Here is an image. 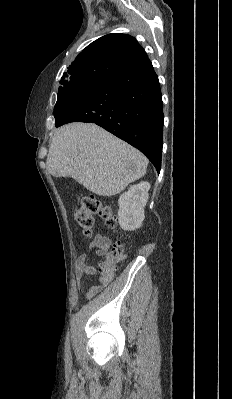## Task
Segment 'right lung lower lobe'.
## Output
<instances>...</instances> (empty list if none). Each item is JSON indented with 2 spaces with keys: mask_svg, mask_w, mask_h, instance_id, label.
<instances>
[{
  "mask_svg": "<svg viewBox=\"0 0 232 399\" xmlns=\"http://www.w3.org/2000/svg\"><path fill=\"white\" fill-rule=\"evenodd\" d=\"M163 108L158 77L149 59L113 75L79 99L67 102L56 127L93 122L139 149L161 169Z\"/></svg>",
  "mask_w": 232,
  "mask_h": 399,
  "instance_id": "obj_1",
  "label": "right lung lower lobe"
}]
</instances>
